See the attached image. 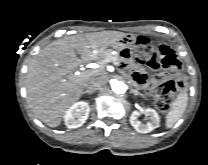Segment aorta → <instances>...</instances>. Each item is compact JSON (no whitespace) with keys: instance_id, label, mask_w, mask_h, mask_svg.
Returning a JSON list of instances; mask_svg holds the SVG:
<instances>
[{"instance_id":"aorta-1","label":"aorta","mask_w":208,"mask_h":165,"mask_svg":"<svg viewBox=\"0 0 208 165\" xmlns=\"http://www.w3.org/2000/svg\"><path fill=\"white\" fill-rule=\"evenodd\" d=\"M112 90L117 94H123L127 90V86L122 81H114L112 83Z\"/></svg>"}]
</instances>
